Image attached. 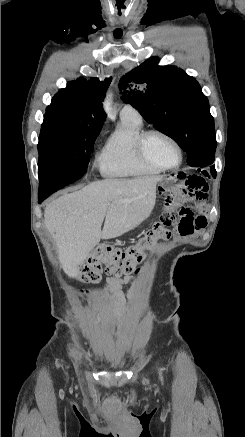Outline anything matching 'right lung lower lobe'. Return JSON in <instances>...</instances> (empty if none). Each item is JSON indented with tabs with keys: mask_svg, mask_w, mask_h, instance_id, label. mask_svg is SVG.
I'll return each instance as SVG.
<instances>
[{
	"mask_svg": "<svg viewBox=\"0 0 245 437\" xmlns=\"http://www.w3.org/2000/svg\"><path fill=\"white\" fill-rule=\"evenodd\" d=\"M80 178L81 177L70 176V175L46 176L45 178L40 180L38 203L39 204L42 203L52 193L67 186L70 183L77 181Z\"/></svg>",
	"mask_w": 245,
	"mask_h": 437,
	"instance_id": "right-lung-lower-lobe-1",
	"label": "right lung lower lobe"
}]
</instances>
